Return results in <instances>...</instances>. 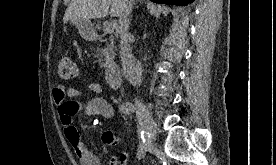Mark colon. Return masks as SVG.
Masks as SVG:
<instances>
[{
	"label": "colon",
	"mask_w": 276,
	"mask_h": 165,
	"mask_svg": "<svg viewBox=\"0 0 276 165\" xmlns=\"http://www.w3.org/2000/svg\"><path fill=\"white\" fill-rule=\"evenodd\" d=\"M58 77L61 80H69L76 76L77 68L69 57H62L58 62ZM102 139L105 143L115 145L120 142V138L112 131L104 132Z\"/></svg>",
	"instance_id": "colon-1"
}]
</instances>
